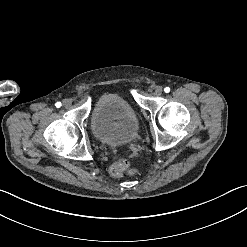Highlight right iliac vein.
Returning <instances> with one entry per match:
<instances>
[{
	"mask_svg": "<svg viewBox=\"0 0 247 247\" xmlns=\"http://www.w3.org/2000/svg\"><path fill=\"white\" fill-rule=\"evenodd\" d=\"M63 105H64L65 108H69L72 105V102H71L70 99H65L63 101Z\"/></svg>",
	"mask_w": 247,
	"mask_h": 247,
	"instance_id": "right-iliac-vein-1",
	"label": "right iliac vein"
}]
</instances>
